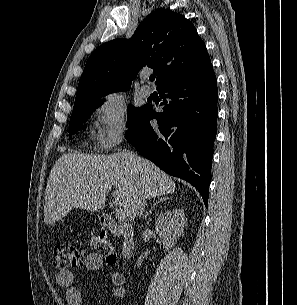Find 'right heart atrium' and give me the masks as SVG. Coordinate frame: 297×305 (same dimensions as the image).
<instances>
[{"label": "right heart atrium", "instance_id": "d8ad5b80", "mask_svg": "<svg viewBox=\"0 0 297 305\" xmlns=\"http://www.w3.org/2000/svg\"><path fill=\"white\" fill-rule=\"evenodd\" d=\"M97 139L102 148H115L129 131L127 103L118 92L103 95L96 106Z\"/></svg>", "mask_w": 297, "mask_h": 305}]
</instances>
